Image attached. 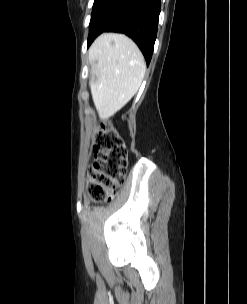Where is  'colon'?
Listing matches in <instances>:
<instances>
[{"label": "colon", "instance_id": "colon-1", "mask_svg": "<svg viewBox=\"0 0 247 304\" xmlns=\"http://www.w3.org/2000/svg\"><path fill=\"white\" fill-rule=\"evenodd\" d=\"M95 161L88 170L87 189L95 202L110 201L120 190L127 172V149L119 133L101 123L95 138Z\"/></svg>", "mask_w": 247, "mask_h": 304}]
</instances>
